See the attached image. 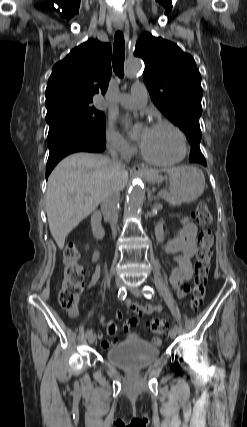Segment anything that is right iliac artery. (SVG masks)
Instances as JSON below:
<instances>
[{"label": "right iliac artery", "instance_id": "82829eb1", "mask_svg": "<svg viewBox=\"0 0 247 427\" xmlns=\"http://www.w3.org/2000/svg\"><path fill=\"white\" fill-rule=\"evenodd\" d=\"M126 295H127L126 289L124 287L120 288L119 291H118V299L119 300H124L125 297H126ZM92 333H93L92 329H89L86 332V337H88Z\"/></svg>", "mask_w": 247, "mask_h": 427}]
</instances>
